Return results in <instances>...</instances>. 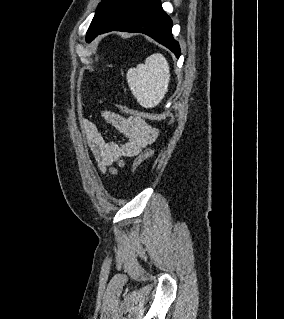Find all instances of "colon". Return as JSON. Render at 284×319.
Listing matches in <instances>:
<instances>
[{
  "label": "colon",
  "mask_w": 284,
  "mask_h": 319,
  "mask_svg": "<svg viewBox=\"0 0 284 319\" xmlns=\"http://www.w3.org/2000/svg\"><path fill=\"white\" fill-rule=\"evenodd\" d=\"M116 106L123 114L139 117L144 120H152V121L168 120L171 123L174 119L173 114L170 112L149 113V112L138 111L122 104H119ZM152 156H153V151L150 149L145 150L142 154H140L136 158V160L133 162V166H132L133 172H136L138 168L141 166V164Z\"/></svg>",
  "instance_id": "1"
}]
</instances>
